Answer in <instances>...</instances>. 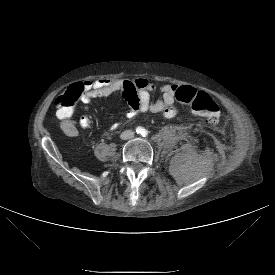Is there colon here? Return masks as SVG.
Masks as SVG:
<instances>
[{
    "label": "colon",
    "instance_id": "1",
    "mask_svg": "<svg viewBox=\"0 0 275 275\" xmlns=\"http://www.w3.org/2000/svg\"><path fill=\"white\" fill-rule=\"evenodd\" d=\"M80 89L72 87L60 94L55 105L60 117H70L78 102ZM177 101L184 107H190L195 113L207 118L210 122H217L220 118L221 110L217 102L205 91L197 90L190 86H184L176 92Z\"/></svg>",
    "mask_w": 275,
    "mask_h": 275
}]
</instances>
